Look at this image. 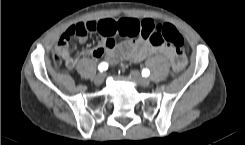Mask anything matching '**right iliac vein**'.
I'll return each instance as SVG.
<instances>
[{"label": "right iliac vein", "instance_id": "1", "mask_svg": "<svg viewBox=\"0 0 245 145\" xmlns=\"http://www.w3.org/2000/svg\"><path fill=\"white\" fill-rule=\"evenodd\" d=\"M104 77H105L104 73L97 74L96 77L94 78V83L96 85H101L104 82Z\"/></svg>", "mask_w": 245, "mask_h": 145}]
</instances>
